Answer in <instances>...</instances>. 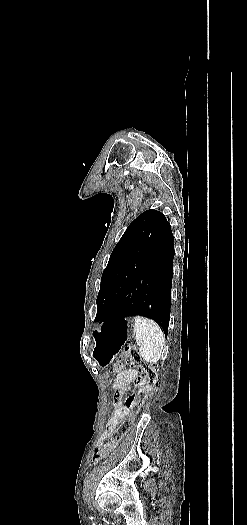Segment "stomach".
Returning a JSON list of instances; mask_svg holds the SVG:
<instances>
[{"instance_id": "stomach-1", "label": "stomach", "mask_w": 247, "mask_h": 525, "mask_svg": "<svg viewBox=\"0 0 247 525\" xmlns=\"http://www.w3.org/2000/svg\"><path fill=\"white\" fill-rule=\"evenodd\" d=\"M135 335L130 318L105 322L94 332L93 358L101 368L113 362L122 346Z\"/></svg>"}]
</instances>
